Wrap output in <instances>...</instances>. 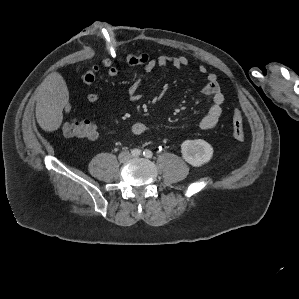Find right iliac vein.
I'll list each match as a JSON object with an SVG mask.
<instances>
[{"mask_svg": "<svg viewBox=\"0 0 299 299\" xmlns=\"http://www.w3.org/2000/svg\"><path fill=\"white\" fill-rule=\"evenodd\" d=\"M130 158V154L128 152H122L119 156V160L122 162L127 161Z\"/></svg>", "mask_w": 299, "mask_h": 299, "instance_id": "right-iliac-vein-1", "label": "right iliac vein"}]
</instances>
